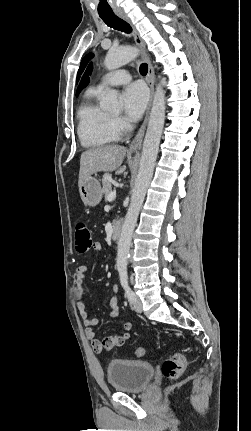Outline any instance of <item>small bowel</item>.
<instances>
[{
  "mask_svg": "<svg viewBox=\"0 0 251 431\" xmlns=\"http://www.w3.org/2000/svg\"><path fill=\"white\" fill-rule=\"evenodd\" d=\"M94 249L97 252L102 251V246L99 243L95 244ZM88 267L81 265L76 270V307L79 311L82 322L85 326V333L87 338L91 341L92 349L97 353L110 351L113 348L122 346L131 337L132 324L129 321H125L122 324V333L116 335H110L103 339L96 337L95 327L98 324V320L88 314L86 310L85 302V289L84 283L87 277ZM113 292H118V286L113 285ZM110 312L109 315L113 318L118 317L120 314L119 299L117 296H113L110 299Z\"/></svg>",
  "mask_w": 251,
  "mask_h": 431,
  "instance_id": "1",
  "label": "small bowel"
}]
</instances>
